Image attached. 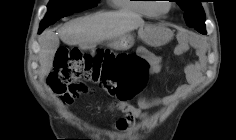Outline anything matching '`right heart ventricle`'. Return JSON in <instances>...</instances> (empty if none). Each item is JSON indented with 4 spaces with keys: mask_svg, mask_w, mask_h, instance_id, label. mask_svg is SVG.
Instances as JSON below:
<instances>
[{
    "mask_svg": "<svg viewBox=\"0 0 236 140\" xmlns=\"http://www.w3.org/2000/svg\"><path fill=\"white\" fill-rule=\"evenodd\" d=\"M152 0H115L114 5L118 10L132 12L143 17H155L153 5L147 3Z\"/></svg>",
    "mask_w": 236,
    "mask_h": 140,
    "instance_id": "e07e8e85",
    "label": "right heart ventricle"
}]
</instances>
